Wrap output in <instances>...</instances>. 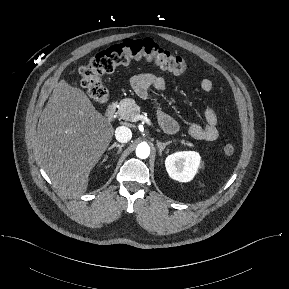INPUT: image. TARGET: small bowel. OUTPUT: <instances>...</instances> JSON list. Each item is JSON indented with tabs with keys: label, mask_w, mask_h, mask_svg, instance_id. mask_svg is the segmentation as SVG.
<instances>
[{
	"label": "small bowel",
	"mask_w": 289,
	"mask_h": 289,
	"mask_svg": "<svg viewBox=\"0 0 289 289\" xmlns=\"http://www.w3.org/2000/svg\"><path fill=\"white\" fill-rule=\"evenodd\" d=\"M132 88L135 93L141 98H147L150 90L162 91L166 87V80L162 76H158L151 73L139 74L132 79ZM200 88L209 92L213 88V82L205 78L200 82ZM204 117L206 123L201 125L199 123H188L186 125V131L188 134L197 140L214 141L219 136L217 128L218 118L215 111L207 107L204 110ZM159 121L162 128L167 133H175L179 129L177 121L169 114L160 111Z\"/></svg>",
	"instance_id": "small-bowel-1"
}]
</instances>
